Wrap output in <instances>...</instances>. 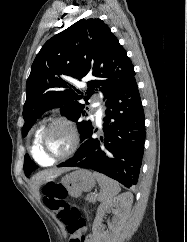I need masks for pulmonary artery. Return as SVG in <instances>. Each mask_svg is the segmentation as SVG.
<instances>
[{"instance_id":"pulmonary-artery-1","label":"pulmonary artery","mask_w":187,"mask_h":242,"mask_svg":"<svg viewBox=\"0 0 187 242\" xmlns=\"http://www.w3.org/2000/svg\"><path fill=\"white\" fill-rule=\"evenodd\" d=\"M96 105H98V104H96ZM98 115L100 116L101 115V111L99 110V112H98Z\"/></svg>"}]
</instances>
